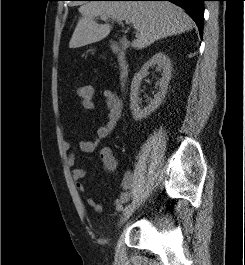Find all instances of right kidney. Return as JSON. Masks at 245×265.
Wrapping results in <instances>:
<instances>
[{
	"label": "right kidney",
	"instance_id": "right-kidney-1",
	"mask_svg": "<svg viewBox=\"0 0 245 265\" xmlns=\"http://www.w3.org/2000/svg\"><path fill=\"white\" fill-rule=\"evenodd\" d=\"M154 66H156L157 70H162V78L157 83L159 91L154 95V99L150 100V103L146 107L142 108V102L139 98L140 84L142 79L149 74V68ZM171 69V61L169 57L162 52H158L146 63H144L139 72L134 76L130 92V109L134 120L138 121L147 118L160 106L165 97L169 81L171 79Z\"/></svg>",
	"mask_w": 245,
	"mask_h": 265
}]
</instances>
